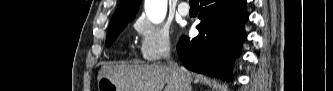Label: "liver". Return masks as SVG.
Here are the masks:
<instances>
[{"label": "liver", "instance_id": "1", "mask_svg": "<svg viewBox=\"0 0 333 91\" xmlns=\"http://www.w3.org/2000/svg\"><path fill=\"white\" fill-rule=\"evenodd\" d=\"M189 85L192 73L181 68ZM109 78L121 91H180V83L173 76L172 68L162 64H109L101 67L98 80Z\"/></svg>", "mask_w": 333, "mask_h": 91}]
</instances>
